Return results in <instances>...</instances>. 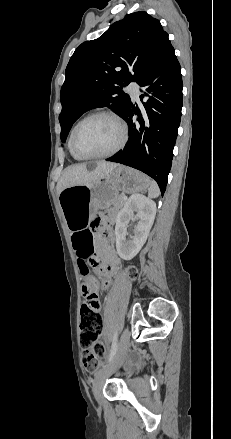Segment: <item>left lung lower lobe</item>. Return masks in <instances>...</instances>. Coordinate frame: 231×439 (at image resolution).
I'll use <instances>...</instances> for the list:
<instances>
[{
    "label": "left lung lower lobe",
    "instance_id": "0a47b994",
    "mask_svg": "<svg viewBox=\"0 0 231 439\" xmlns=\"http://www.w3.org/2000/svg\"><path fill=\"white\" fill-rule=\"evenodd\" d=\"M141 110L130 103L122 118L129 126L128 143L107 161L138 169L152 177L162 195L166 190L182 109L180 64L170 46L137 82ZM137 115L136 121L132 120Z\"/></svg>",
    "mask_w": 231,
    "mask_h": 439
}]
</instances>
